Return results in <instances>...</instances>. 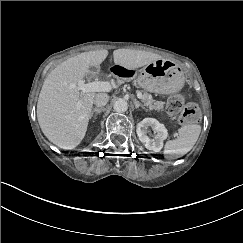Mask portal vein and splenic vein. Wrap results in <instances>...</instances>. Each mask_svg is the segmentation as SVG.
I'll return each mask as SVG.
<instances>
[{
	"instance_id": "1",
	"label": "portal vein and splenic vein",
	"mask_w": 243,
	"mask_h": 243,
	"mask_svg": "<svg viewBox=\"0 0 243 243\" xmlns=\"http://www.w3.org/2000/svg\"><path fill=\"white\" fill-rule=\"evenodd\" d=\"M78 90H80L82 93H88V92H110L112 90V86L109 82H103V81H94L91 83L85 84L83 81L78 82ZM137 97L139 99L143 98L142 93L137 90L136 91ZM81 101H78L77 108H80Z\"/></svg>"
}]
</instances>
